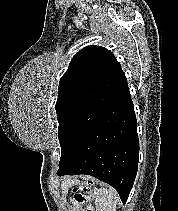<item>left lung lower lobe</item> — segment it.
Returning a JSON list of instances; mask_svg holds the SVG:
<instances>
[{
    "instance_id": "0a47b994",
    "label": "left lung lower lobe",
    "mask_w": 178,
    "mask_h": 211,
    "mask_svg": "<svg viewBox=\"0 0 178 211\" xmlns=\"http://www.w3.org/2000/svg\"><path fill=\"white\" fill-rule=\"evenodd\" d=\"M139 156L134 106L124 75L92 129L57 174H85L113 186L123 203L132 189Z\"/></svg>"
}]
</instances>
